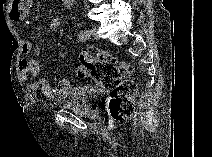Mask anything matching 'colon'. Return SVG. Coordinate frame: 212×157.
Returning <instances> with one entry per match:
<instances>
[{
  "label": "colon",
  "mask_w": 212,
  "mask_h": 157,
  "mask_svg": "<svg viewBox=\"0 0 212 157\" xmlns=\"http://www.w3.org/2000/svg\"><path fill=\"white\" fill-rule=\"evenodd\" d=\"M132 68L125 61L100 48H89L80 54L79 78L90 77L110 94L109 112L116 121L129 118L137 84L128 77Z\"/></svg>",
  "instance_id": "5ec220e1"
}]
</instances>
